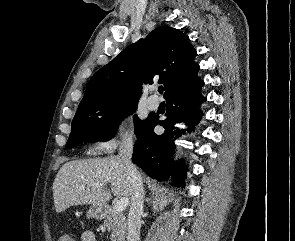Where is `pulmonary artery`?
Wrapping results in <instances>:
<instances>
[{
    "label": "pulmonary artery",
    "mask_w": 295,
    "mask_h": 241,
    "mask_svg": "<svg viewBox=\"0 0 295 241\" xmlns=\"http://www.w3.org/2000/svg\"><path fill=\"white\" fill-rule=\"evenodd\" d=\"M158 105H159V102L155 96H150L147 99V106L149 109H151V110L157 109Z\"/></svg>",
    "instance_id": "pulmonary-artery-1"
}]
</instances>
